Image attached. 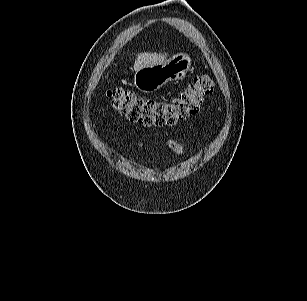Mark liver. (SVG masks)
Returning a JSON list of instances; mask_svg holds the SVG:
<instances>
[{"label":"liver","instance_id":"6515ba94","mask_svg":"<svg viewBox=\"0 0 307 301\" xmlns=\"http://www.w3.org/2000/svg\"><path fill=\"white\" fill-rule=\"evenodd\" d=\"M166 57V54L140 53L135 60L134 70L138 71L146 66L160 64L165 61Z\"/></svg>","mask_w":307,"mask_h":301}]
</instances>
